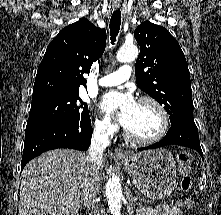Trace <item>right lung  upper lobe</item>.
Returning <instances> with one entry per match:
<instances>
[{
  "label": "right lung upper lobe",
  "mask_w": 221,
  "mask_h": 215,
  "mask_svg": "<svg viewBox=\"0 0 221 215\" xmlns=\"http://www.w3.org/2000/svg\"><path fill=\"white\" fill-rule=\"evenodd\" d=\"M106 47V31L87 19L63 28L48 45L38 67L32 101L55 94L79 93L93 61Z\"/></svg>",
  "instance_id": "cb5924a9"
}]
</instances>
